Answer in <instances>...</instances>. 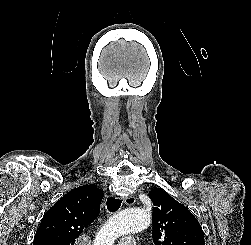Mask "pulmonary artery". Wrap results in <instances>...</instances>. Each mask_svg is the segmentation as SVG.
<instances>
[{"label": "pulmonary artery", "mask_w": 251, "mask_h": 245, "mask_svg": "<svg viewBox=\"0 0 251 245\" xmlns=\"http://www.w3.org/2000/svg\"><path fill=\"white\" fill-rule=\"evenodd\" d=\"M118 245H136L133 238H124L118 242Z\"/></svg>", "instance_id": "obj_1"}]
</instances>
